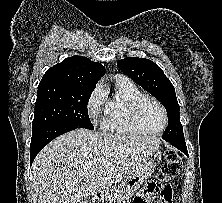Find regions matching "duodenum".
Instances as JSON below:
<instances>
[{"label":"duodenum","instance_id":"1","mask_svg":"<svg viewBox=\"0 0 222 203\" xmlns=\"http://www.w3.org/2000/svg\"><path fill=\"white\" fill-rule=\"evenodd\" d=\"M94 197H95V199H96V201H97L98 203L104 201V199H105V191H104V190H99V191H97V192L95 193Z\"/></svg>","mask_w":222,"mask_h":203}]
</instances>
